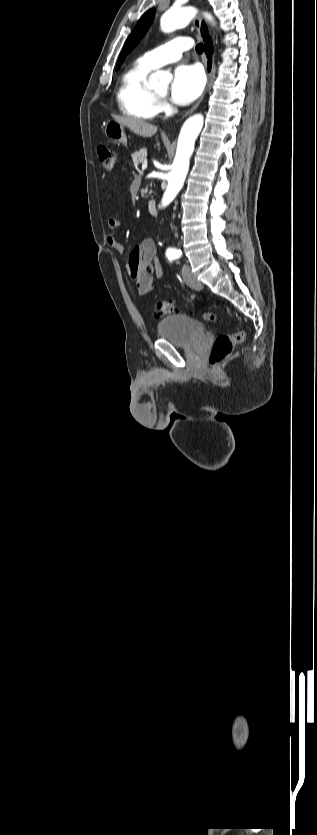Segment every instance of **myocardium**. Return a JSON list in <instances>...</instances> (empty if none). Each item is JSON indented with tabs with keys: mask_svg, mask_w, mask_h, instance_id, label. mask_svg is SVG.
<instances>
[{
	"mask_svg": "<svg viewBox=\"0 0 317 835\" xmlns=\"http://www.w3.org/2000/svg\"><path fill=\"white\" fill-rule=\"evenodd\" d=\"M155 95L157 96V98H162L164 96V95H161L159 93H155Z\"/></svg>",
	"mask_w": 317,
	"mask_h": 835,
	"instance_id": "obj_1",
	"label": "myocardium"
}]
</instances>
